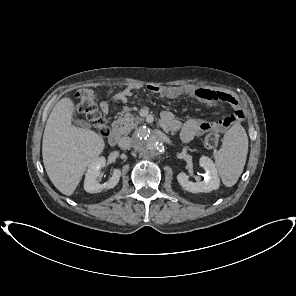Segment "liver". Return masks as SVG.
I'll list each match as a JSON object with an SVG mask.
<instances>
[{
	"label": "liver",
	"instance_id": "6515ba94",
	"mask_svg": "<svg viewBox=\"0 0 296 296\" xmlns=\"http://www.w3.org/2000/svg\"><path fill=\"white\" fill-rule=\"evenodd\" d=\"M76 111L70 98L59 100L49 115L42 141L47 175L54 186L67 196L74 193L86 168L105 147L101 135L72 125Z\"/></svg>",
	"mask_w": 296,
	"mask_h": 296
}]
</instances>
